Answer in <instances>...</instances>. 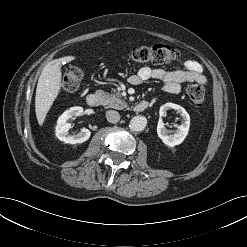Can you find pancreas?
Masks as SVG:
<instances>
[{"label":"pancreas","instance_id":"1","mask_svg":"<svg viewBox=\"0 0 247 247\" xmlns=\"http://www.w3.org/2000/svg\"><path fill=\"white\" fill-rule=\"evenodd\" d=\"M96 95L99 96L101 104L107 108L122 110L128 106L125 100L122 99L121 94L118 92L106 93L102 90H98L96 91Z\"/></svg>","mask_w":247,"mask_h":247}]
</instances>
